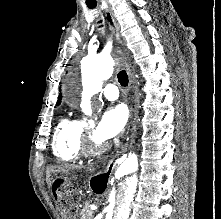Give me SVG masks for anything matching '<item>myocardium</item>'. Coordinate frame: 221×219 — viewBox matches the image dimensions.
I'll return each instance as SVG.
<instances>
[{
	"label": "myocardium",
	"instance_id": "1",
	"mask_svg": "<svg viewBox=\"0 0 221 219\" xmlns=\"http://www.w3.org/2000/svg\"><path fill=\"white\" fill-rule=\"evenodd\" d=\"M106 145L96 139L90 131L85 132L83 140V155L96 156L104 152Z\"/></svg>",
	"mask_w": 221,
	"mask_h": 219
}]
</instances>
